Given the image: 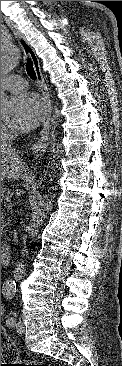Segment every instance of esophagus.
<instances>
[{
    "instance_id": "obj_1",
    "label": "esophagus",
    "mask_w": 122,
    "mask_h": 366,
    "mask_svg": "<svg viewBox=\"0 0 122 366\" xmlns=\"http://www.w3.org/2000/svg\"><path fill=\"white\" fill-rule=\"evenodd\" d=\"M7 22L10 24L9 20H7ZM11 28L14 32L15 37L18 39L19 44L22 47L25 55L30 57V59L33 63L34 70H35L36 77H37V82L41 88L42 95L44 97V102H45V107H46L45 120L43 122V128L40 132V139H39L38 143H36L34 145V147L35 148H46V146L50 140V127H51V120H52V118H51L52 104H51L50 94H49L48 88L46 86V83L44 81L43 74L41 72L39 59H38L34 49L31 47V45L27 42L25 37L17 29H15L13 26Z\"/></svg>"
}]
</instances>
